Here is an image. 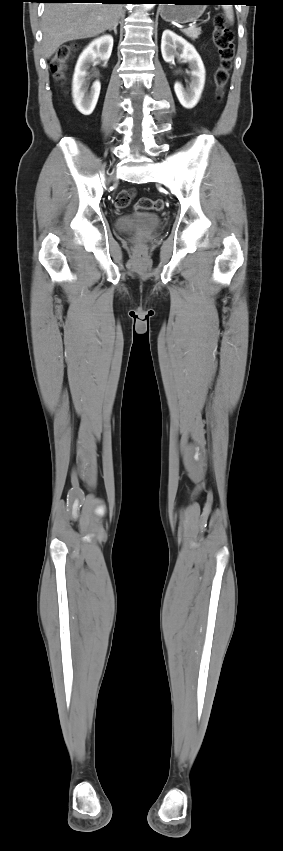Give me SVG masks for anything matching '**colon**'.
Listing matches in <instances>:
<instances>
[{
  "label": "colon",
  "instance_id": "obj_1",
  "mask_svg": "<svg viewBox=\"0 0 283 851\" xmlns=\"http://www.w3.org/2000/svg\"><path fill=\"white\" fill-rule=\"evenodd\" d=\"M234 35L230 29L227 19L218 14L214 17V28L212 33V41L216 48L220 64L215 72V83L217 86V98L221 99L224 94V88L228 82L232 61L235 55ZM76 49L75 44L63 45L56 52L50 62V69L56 78H62L67 67V63L72 57ZM135 196V191L132 188L121 190L115 199V205L119 209L129 207ZM138 209L161 210L164 207V202L161 199L141 198L134 205Z\"/></svg>",
  "mask_w": 283,
  "mask_h": 851
}]
</instances>
